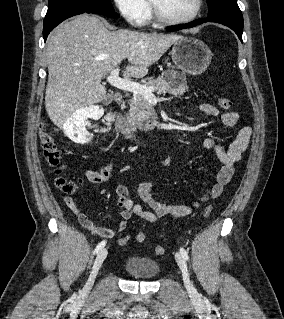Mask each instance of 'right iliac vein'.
Instances as JSON below:
<instances>
[{
    "label": "right iliac vein",
    "mask_w": 284,
    "mask_h": 319,
    "mask_svg": "<svg viewBox=\"0 0 284 319\" xmlns=\"http://www.w3.org/2000/svg\"><path fill=\"white\" fill-rule=\"evenodd\" d=\"M108 254L107 249H102L99 251V253L97 254L95 261L93 263L92 266V270L90 272L89 278L86 282V285L84 287V292L87 293L90 291V289L92 288L94 281H95V277L98 273V270L100 269L102 263L104 262V260L106 259Z\"/></svg>",
    "instance_id": "1"
}]
</instances>
